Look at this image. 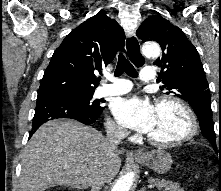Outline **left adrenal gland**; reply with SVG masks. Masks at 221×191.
<instances>
[{
    "instance_id": "a2214340",
    "label": "left adrenal gland",
    "mask_w": 221,
    "mask_h": 191,
    "mask_svg": "<svg viewBox=\"0 0 221 191\" xmlns=\"http://www.w3.org/2000/svg\"><path fill=\"white\" fill-rule=\"evenodd\" d=\"M139 191H146L145 186H143Z\"/></svg>"
}]
</instances>
